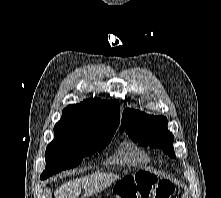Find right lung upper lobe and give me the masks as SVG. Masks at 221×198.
<instances>
[{"label": "right lung upper lobe", "mask_w": 221, "mask_h": 198, "mask_svg": "<svg viewBox=\"0 0 221 198\" xmlns=\"http://www.w3.org/2000/svg\"><path fill=\"white\" fill-rule=\"evenodd\" d=\"M119 103L94 98L72 104L62 111L61 120L54 127L55 135H88L119 125Z\"/></svg>", "instance_id": "obj_1"}]
</instances>
